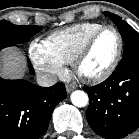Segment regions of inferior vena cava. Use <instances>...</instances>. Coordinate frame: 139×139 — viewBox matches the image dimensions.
<instances>
[{
	"instance_id": "602c4592",
	"label": "inferior vena cava",
	"mask_w": 139,
	"mask_h": 139,
	"mask_svg": "<svg viewBox=\"0 0 139 139\" xmlns=\"http://www.w3.org/2000/svg\"><path fill=\"white\" fill-rule=\"evenodd\" d=\"M57 82V76L50 73H38L37 74V83L42 87H50Z\"/></svg>"
}]
</instances>
